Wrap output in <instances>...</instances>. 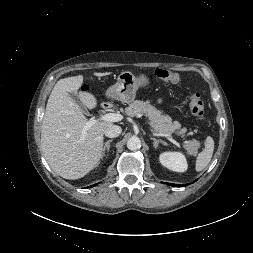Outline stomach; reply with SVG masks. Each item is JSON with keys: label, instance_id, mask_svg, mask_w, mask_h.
<instances>
[{"label": "stomach", "instance_id": "obj_1", "mask_svg": "<svg viewBox=\"0 0 253 253\" xmlns=\"http://www.w3.org/2000/svg\"><path fill=\"white\" fill-rule=\"evenodd\" d=\"M148 84L149 79L145 74L136 77L133 73L125 71L118 76L117 83L111 86L106 94L124 103H131L135 99L138 88L146 87Z\"/></svg>", "mask_w": 253, "mask_h": 253}]
</instances>
